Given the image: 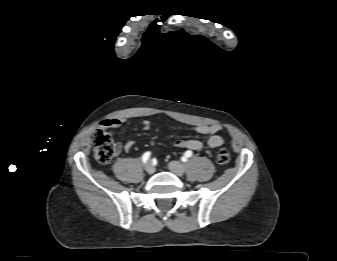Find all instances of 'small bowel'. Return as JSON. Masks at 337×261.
Returning a JSON list of instances; mask_svg holds the SVG:
<instances>
[{"label": "small bowel", "instance_id": "small-bowel-1", "mask_svg": "<svg viewBox=\"0 0 337 261\" xmlns=\"http://www.w3.org/2000/svg\"><path fill=\"white\" fill-rule=\"evenodd\" d=\"M122 123L123 120L120 118L105 119L100 122L99 127L101 129L118 128L122 125ZM142 125L145 130H149L152 126L151 122L148 120L143 121ZM194 130L196 133L206 136V141L203 142L197 139H179L175 142V145L182 149L199 151L204 146L217 148L224 144V139L220 135V132L222 131V127L220 125H198L194 128ZM133 146L134 141L127 140L124 143L123 148L125 151H130Z\"/></svg>", "mask_w": 337, "mask_h": 261}]
</instances>
